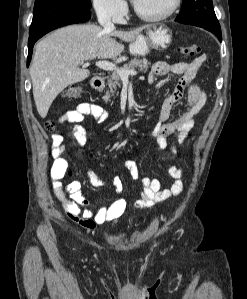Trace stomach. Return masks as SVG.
<instances>
[{
  "mask_svg": "<svg viewBox=\"0 0 247 299\" xmlns=\"http://www.w3.org/2000/svg\"><path fill=\"white\" fill-rule=\"evenodd\" d=\"M172 42L171 30L164 24H155L147 28L146 36L139 35L129 46L130 54L144 57L152 49L165 50Z\"/></svg>",
  "mask_w": 247,
  "mask_h": 299,
  "instance_id": "1",
  "label": "stomach"
}]
</instances>
